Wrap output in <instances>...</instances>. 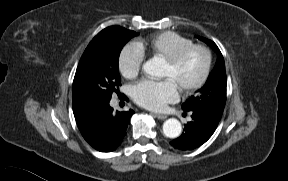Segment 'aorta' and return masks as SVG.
<instances>
[{"label": "aorta", "instance_id": "1", "mask_svg": "<svg viewBox=\"0 0 288 181\" xmlns=\"http://www.w3.org/2000/svg\"><path fill=\"white\" fill-rule=\"evenodd\" d=\"M143 70L151 76L159 75V65L155 60H149L143 65ZM182 131V126L179 120L170 118L163 124V133L168 138H177Z\"/></svg>", "mask_w": 288, "mask_h": 181}]
</instances>
